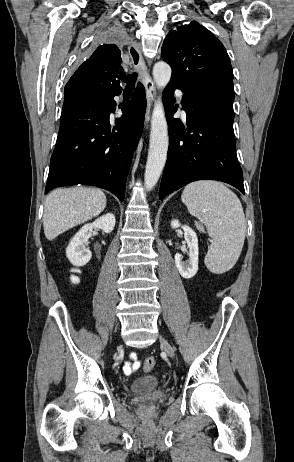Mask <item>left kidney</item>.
Wrapping results in <instances>:
<instances>
[{
	"label": "left kidney",
	"mask_w": 294,
	"mask_h": 462,
	"mask_svg": "<svg viewBox=\"0 0 294 462\" xmlns=\"http://www.w3.org/2000/svg\"><path fill=\"white\" fill-rule=\"evenodd\" d=\"M180 226L181 224L179 223L178 220L171 221V227L173 229H176ZM181 228L184 231V238L189 247V252H188L189 258L187 261L183 262L182 255L177 253L175 255V264H176V267L180 275L185 279H190L193 276H195V274L198 271V255H199L198 238L194 230L190 228L189 226L184 225V226H181Z\"/></svg>",
	"instance_id": "1"
}]
</instances>
